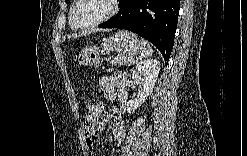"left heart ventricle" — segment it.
Masks as SVG:
<instances>
[{
  "instance_id": "obj_1",
  "label": "left heart ventricle",
  "mask_w": 247,
  "mask_h": 156,
  "mask_svg": "<svg viewBox=\"0 0 247 156\" xmlns=\"http://www.w3.org/2000/svg\"><path fill=\"white\" fill-rule=\"evenodd\" d=\"M109 9L110 4L108 1L83 0L75 11L74 21L80 25L91 23L104 16Z\"/></svg>"
}]
</instances>
